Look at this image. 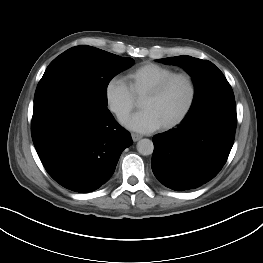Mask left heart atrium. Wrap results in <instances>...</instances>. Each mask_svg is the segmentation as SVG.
Masks as SVG:
<instances>
[{
	"instance_id": "39dd6f15",
	"label": "left heart atrium",
	"mask_w": 263,
	"mask_h": 263,
	"mask_svg": "<svg viewBox=\"0 0 263 263\" xmlns=\"http://www.w3.org/2000/svg\"><path fill=\"white\" fill-rule=\"evenodd\" d=\"M124 125L139 133H151L162 126L158 117L149 109L133 114L124 121Z\"/></svg>"
}]
</instances>
